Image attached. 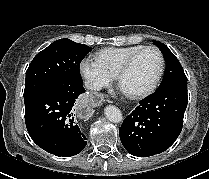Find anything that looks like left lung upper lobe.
I'll list each match as a JSON object with an SVG mask.
<instances>
[{"label":"left lung upper lobe","mask_w":209,"mask_h":179,"mask_svg":"<svg viewBox=\"0 0 209 179\" xmlns=\"http://www.w3.org/2000/svg\"><path fill=\"white\" fill-rule=\"evenodd\" d=\"M153 43L160 48L166 60L165 75L158 89H162L177 82L187 81V77L180 62L170 49L165 44L158 41H153Z\"/></svg>","instance_id":"left-lung-upper-lobe-1"}]
</instances>
